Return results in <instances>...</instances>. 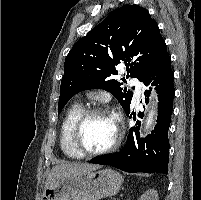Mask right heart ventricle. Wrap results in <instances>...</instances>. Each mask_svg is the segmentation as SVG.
<instances>
[{
	"mask_svg": "<svg viewBox=\"0 0 201 200\" xmlns=\"http://www.w3.org/2000/svg\"><path fill=\"white\" fill-rule=\"evenodd\" d=\"M83 111V107L80 103L73 104L66 112L60 128V147L63 154L71 159H80V156L72 147L70 142V132L72 126L78 116Z\"/></svg>",
	"mask_w": 201,
	"mask_h": 200,
	"instance_id": "obj_1",
	"label": "right heart ventricle"
}]
</instances>
